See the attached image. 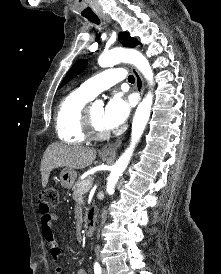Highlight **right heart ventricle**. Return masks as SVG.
Masks as SVG:
<instances>
[{"label":"right heart ventricle","mask_w":221,"mask_h":274,"mask_svg":"<svg viewBox=\"0 0 221 274\" xmlns=\"http://www.w3.org/2000/svg\"><path fill=\"white\" fill-rule=\"evenodd\" d=\"M92 98L93 96L78 88L61 100L55 116L56 134L61 141L69 144H81L88 139L84 129L83 116L85 108Z\"/></svg>","instance_id":"1"}]
</instances>
